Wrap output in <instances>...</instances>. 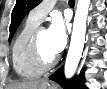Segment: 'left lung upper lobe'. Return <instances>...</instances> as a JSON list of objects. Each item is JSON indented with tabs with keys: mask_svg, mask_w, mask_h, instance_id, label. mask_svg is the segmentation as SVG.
Wrapping results in <instances>:
<instances>
[{
	"mask_svg": "<svg viewBox=\"0 0 107 89\" xmlns=\"http://www.w3.org/2000/svg\"><path fill=\"white\" fill-rule=\"evenodd\" d=\"M42 0H17L16 5L13 8L12 15H11V24H10V36L9 40L12 39L16 29L18 28L19 24L21 23L22 19L25 15L37 6Z\"/></svg>",
	"mask_w": 107,
	"mask_h": 89,
	"instance_id": "left-lung-upper-lobe-1",
	"label": "left lung upper lobe"
}]
</instances>
